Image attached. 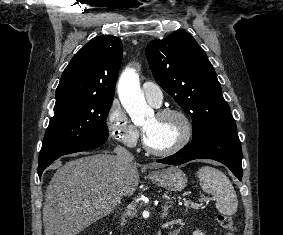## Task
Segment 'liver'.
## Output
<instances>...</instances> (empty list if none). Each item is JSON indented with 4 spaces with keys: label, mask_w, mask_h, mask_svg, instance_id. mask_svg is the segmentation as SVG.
I'll use <instances>...</instances> for the list:
<instances>
[{
    "label": "liver",
    "mask_w": 283,
    "mask_h": 235,
    "mask_svg": "<svg viewBox=\"0 0 283 235\" xmlns=\"http://www.w3.org/2000/svg\"><path fill=\"white\" fill-rule=\"evenodd\" d=\"M138 164L120 167L115 156L95 154L66 162L53 175L43 207L45 235H77L116 206L118 193L132 196ZM145 168L162 167L150 163Z\"/></svg>",
    "instance_id": "obj_1"
}]
</instances>
